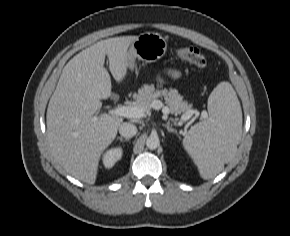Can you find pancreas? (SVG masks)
I'll list each match as a JSON object with an SVG mask.
<instances>
[{"label":"pancreas","mask_w":290,"mask_h":236,"mask_svg":"<svg viewBox=\"0 0 290 236\" xmlns=\"http://www.w3.org/2000/svg\"><path fill=\"white\" fill-rule=\"evenodd\" d=\"M159 97L164 98L170 112L174 115L181 113L186 114L191 111V105L186 101H183L182 96L178 94L176 89L169 88L156 90L154 85H144L140 88L133 105L144 107L147 111H149L151 109V103Z\"/></svg>","instance_id":"cf45deb5"}]
</instances>
